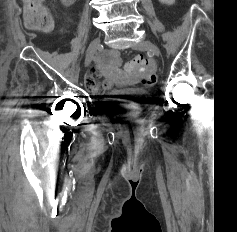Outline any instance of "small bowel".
I'll list each match as a JSON object with an SVG mask.
<instances>
[{
	"instance_id": "1",
	"label": "small bowel",
	"mask_w": 237,
	"mask_h": 232,
	"mask_svg": "<svg viewBox=\"0 0 237 232\" xmlns=\"http://www.w3.org/2000/svg\"><path fill=\"white\" fill-rule=\"evenodd\" d=\"M122 60L116 49L107 51L98 58L97 65L92 67L85 76V86L95 95H112L115 91L114 82L107 78L98 82L102 76L118 73Z\"/></svg>"
}]
</instances>
